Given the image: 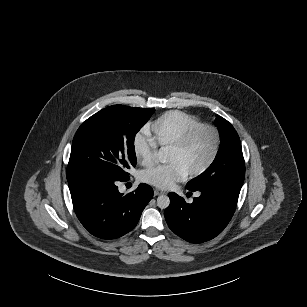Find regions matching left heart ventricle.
Wrapping results in <instances>:
<instances>
[{"label": "left heart ventricle", "mask_w": 307, "mask_h": 307, "mask_svg": "<svg viewBox=\"0 0 307 307\" xmlns=\"http://www.w3.org/2000/svg\"><path fill=\"white\" fill-rule=\"evenodd\" d=\"M214 147L215 136L212 132L206 131L183 151L167 149L163 161L177 163L189 173L201 166L209 158Z\"/></svg>", "instance_id": "1"}]
</instances>
